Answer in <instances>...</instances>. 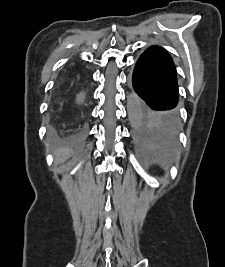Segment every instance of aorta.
Masks as SVG:
<instances>
[{"mask_svg":"<svg viewBox=\"0 0 225 267\" xmlns=\"http://www.w3.org/2000/svg\"><path fill=\"white\" fill-rule=\"evenodd\" d=\"M141 101L135 94H130L127 98L128 119L132 127H136L139 123Z\"/></svg>","mask_w":225,"mask_h":267,"instance_id":"aorta-1","label":"aorta"}]
</instances>
